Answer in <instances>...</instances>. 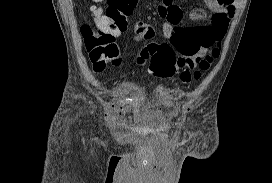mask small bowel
Wrapping results in <instances>:
<instances>
[{
  "mask_svg": "<svg viewBox=\"0 0 272 183\" xmlns=\"http://www.w3.org/2000/svg\"><path fill=\"white\" fill-rule=\"evenodd\" d=\"M204 3L212 15L208 17L202 8L192 9L188 18L199 23L195 26L183 25V10L173 0H161L156 6L158 14L164 19L162 36L178 54V70L192 69L197 59L203 57L215 43L223 39L234 16L236 0H204ZM133 31L136 40L147 44L155 37L154 28L143 21L135 22ZM119 114L121 110L115 108L107 117Z\"/></svg>",
  "mask_w": 272,
  "mask_h": 183,
  "instance_id": "1",
  "label": "small bowel"
}]
</instances>
